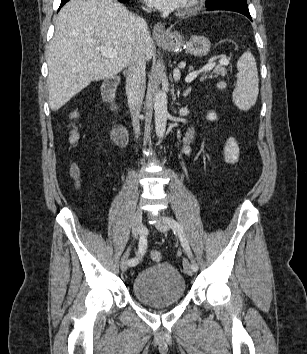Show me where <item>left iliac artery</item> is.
I'll list each match as a JSON object with an SVG mask.
<instances>
[{
	"instance_id": "left-iliac-artery-1",
	"label": "left iliac artery",
	"mask_w": 307,
	"mask_h": 354,
	"mask_svg": "<svg viewBox=\"0 0 307 354\" xmlns=\"http://www.w3.org/2000/svg\"><path fill=\"white\" fill-rule=\"evenodd\" d=\"M165 221L170 226V228L173 230L174 234H177L179 236L181 244H182L185 252L188 254V256L190 258H192V252H191L188 240L185 237L184 231H183L182 227L180 226V224L170 217H166ZM191 267H192L193 271H195V272L198 270V265L193 258L191 259Z\"/></svg>"
}]
</instances>
